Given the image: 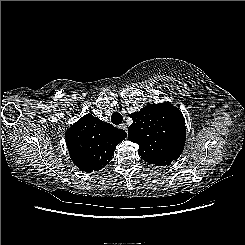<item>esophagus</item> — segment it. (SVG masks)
Returning a JSON list of instances; mask_svg holds the SVG:
<instances>
[{"mask_svg": "<svg viewBox=\"0 0 245 245\" xmlns=\"http://www.w3.org/2000/svg\"><path fill=\"white\" fill-rule=\"evenodd\" d=\"M119 127L122 128L123 130L127 131V126L125 123H122Z\"/></svg>", "mask_w": 245, "mask_h": 245, "instance_id": "esophagus-1", "label": "esophagus"}]
</instances>
